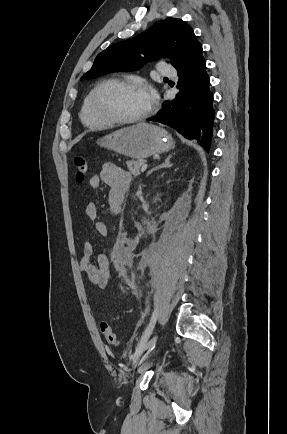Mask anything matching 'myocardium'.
<instances>
[{"label": "myocardium", "mask_w": 287, "mask_h": 434, "mask_svg": "<svg viewBox=\"0 0 287 434\" xmlns=\"http://www.w3.org/2000/svg\"><path fill=\"white\" fill-rule=\"evenodd\" d=\"M110 86L140 87L145 88V84L136 79L128 78H111L100 83L92 92L90 98V110L92 115L101 121L104 125H131L144 121L152 112L150 106L143 114L127 119L114 118L104 114L99 108V98L101 93Z\"/></svg>", "instance_id": "1"}]
</instances>
